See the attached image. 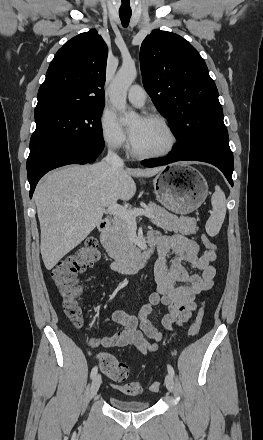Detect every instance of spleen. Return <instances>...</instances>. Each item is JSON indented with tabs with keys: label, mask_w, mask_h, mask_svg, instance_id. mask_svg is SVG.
Returning <instances> with one entry per match:
<instances>
[{
	"label": "spleen",
	"mask_w": 263,
	"mask_h": 440,
	"mask_svg": "<svg viewBox=\"0 0 263 440\" xmlns=\"http://www.w3.org/2000/svg\"><path fill=\"white\" fill-rule=\"evenodd\" d=\"M212 212L206 222L205 228L209 236H216L224 222L226 215V197L221 188L216 185L215 192L211 197Z\"/></svg>",
	"instance_id": "1"
}]
</instances>
